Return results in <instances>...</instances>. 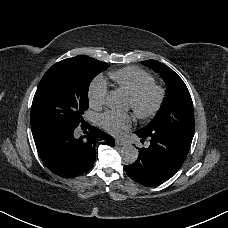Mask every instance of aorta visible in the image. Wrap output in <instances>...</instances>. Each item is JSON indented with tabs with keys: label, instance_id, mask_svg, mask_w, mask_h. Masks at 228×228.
Instances as JSON below:
<instances>
[{
	"label": "aorta",
	"instance_id": "1",
	"mask_svg": "<svg viewBox=\"0 0 228 228\" xmlns=\"http://www.w3.org/2000/svg\"><path fill=\"white\" fill-rule=\"evenodd\" d=\"M106 105L113 110H125L127 106L126 97L119 91H111L106 97ZM138 150L131 144L121 148L120 155L126 164H133L138 158Z\"/></svg>",
	"mask_w": 228,
	"mask_h": 228
}]
</instances>
